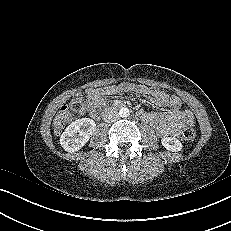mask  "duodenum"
<instances>
[{
    "label": "duodenum",
    "instance_id": "duodenum-1",
    "mask_svg": "<svg viewBox=\"0 0 231 231\" xmlns=\"http://www.w3.org/2000/svg\"><path fill=\"white\" fill-rule=\"evenodd\" d=\"M117 107H122L123 106V104L121 103V102H117L116 104H115ZM111 111V109H107L106 110V112H110Z\"/></svg>",
    "mask_w": 231,
    "mask_h": 231
}]
</instances>
